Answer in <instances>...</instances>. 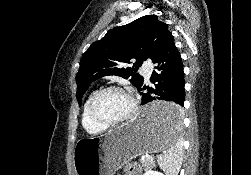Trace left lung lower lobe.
Segmentation results:
<instances>
[{
	"label": "left lung lower lobe",
	"mask_w": 251,
	"mask_h": 175,
	"mask_svg": "<svg viewBox=\"0 0 251 175\" xmlns=\"http://www.w3.org/2000/svg\"><path fill=\"white\" fill-rule=\"evenodd\" d=\"M152 61L157 64L156 71H153L150 78L154 85L147 88V93H141L142 105L155 100H165L170 103L146 110L141 119L147 124H176L183 118L185 81L182 59L171 33ZM144 89L146 88L141 87L138 90Z\"/></svg>",
	"instance_id": "0a47b994"
}]
</instances>
